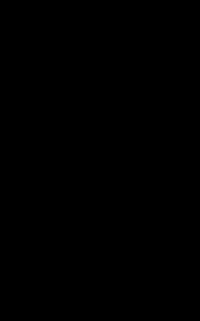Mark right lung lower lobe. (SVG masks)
<instances>
[{"instance_id": "98d812e1", "label": "right lung lower lobe", "mask_w": 200, "mask_h": 321, "mask_svg": "<svg viewBox=\"0 0 200 321\" xmlns=\"http://www.w3.org/2000/svg\"><path fill=\"white\" fill-rule=\"evenodd\" d=\"M83 198L84 195L76 189L35 177L19 194L28 219L50 232L64 230L78 219Z\"/></svg>"}]
</instances>
